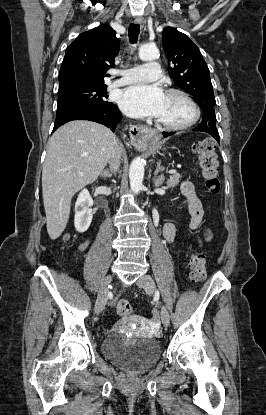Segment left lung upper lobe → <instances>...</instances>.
<instances>
[{"label":"left lung upper lobe","mask_w":266,"mask_h":415,"mask_svg":"<svg viewBox=\"0 0 266 415\" xmlns=\"http://www.w3.org/2000/svg\"><path fill=\"white\" fill-rule=\"evenodd\" d=\"M162 44L168 59V72L177 87L190 93L203 111V119L194 131L219 137L214 106L216 104L210 73L199 48L187 35L172 27L162 32Z\"/></svg>","instance_id":"left-lung-upper-lobe-1"}]
</instances>
